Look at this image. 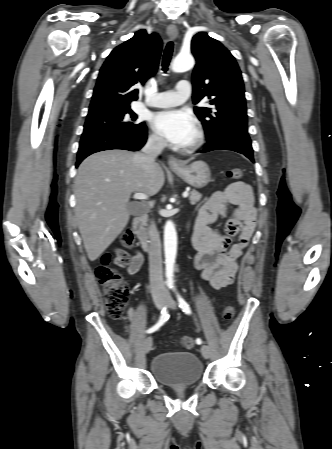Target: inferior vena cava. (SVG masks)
<instances>
[{
    "label": "inferior vena cava",
    "mask_w": 332,
    "mask_h": 449,
    "mask_svg": "<svg viewBox=\"0 0 332 449\" xmlns=\"http://www.w3.org/2000/svg\"><path fill=\"white\" fill-rule=\"evenodd\" d=\"M166 146L162 137L154 136L148 139L141 152L137 153L134 160L146 171H151L155 165V159ZM149 274L152 295L165 293L162 271L161 241L159 232L154 222L149 227Z\"/></svg>",
    "instance_id": "1"
}]
</instances>
